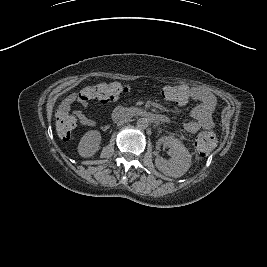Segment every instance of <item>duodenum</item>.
<instances>
[{"mask_svg":"<svg viewBox=\"0 0 267 267\" xmlns=\"http://www.w3.org/2000/svg\"><path fill=\"white\" fill-rule=\"evenodd\" d=\"M135 117L147 118L151 123L160 125L165 123L166 117L156 115L143 109H125L118 107L113 111L112 120L130 119Z\"/></svg>","mask_w":267,"mask_h":267,"instance_id":"obj_1","label":"duodenum"}]
</instances>
